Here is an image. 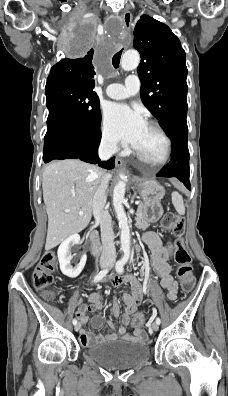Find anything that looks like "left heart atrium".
Returning <instances> with one entry per match:
<instances>
[{"label":"left heart atrium","mask_w":228,"mask_h":396,"mask_svg":"<svg viewBox=\"0 0 228 396\" xmlns=\"http://www.w3.org/2000/svg\"><path fill=\"white\" fill-rule=\"evenodd\" d=\"M104 123L117 141L136 147L146 127L142 114L126 104H110L104 111Z\"/></svg>","instance_id":"obj_1"}]
</instances>
